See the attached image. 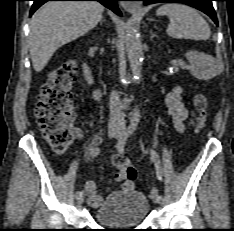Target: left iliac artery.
Here are the masks:
<instances>
[{
  "instance_id": "left-iliac-artery-1",
  "label": "left iliac artery",
  "mask_w": 234,
  "mask_h": 231,
  "mask_svg": "<svg viewBox=\"0 0 234 231\" xmlns=\"http://www.w3.org/2000/svg\"><path fill=\"white\" fill-rule=\"evenodd\" d=\"M138 125V121H133L131 125L128 127L127 131L119 138L117 143V150L119 153H124V147L126 144L127 139L134 133ZM151 158L154 162L156 175L158 180L162 179V168L159 156L156 151L150 150ZM158 200L160 203L164 202V197L162 195H158Z\"/></svg>"
}]
</instances>
